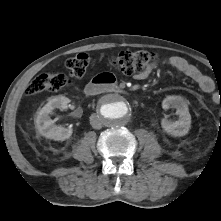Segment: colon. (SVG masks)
<instances>
[{
	"label": "colon",
	"instance_id": "5ec220e1",
	"mask_svg": "<svg viewBox=\"0 0 221 221\" xmlns=\"http://www.w3.org/2000/svg\"><path fill=\"white\" fill-rule=\"evenodd\" d=\"M157 59V54L149 51H122L112 57L110 62L121 73L132 75L143 72L148 66L155 63ZM65 65L71 76L81 78L88 70L89 56L86 53H79L67 59ZM70 83L69 77L62 72L41 74L30 82L26 93L35 95L43 91H58L69 86Z\"/></svg>",
	"mask_w": 221,
	"mask_h": 221
}]
</instances>
